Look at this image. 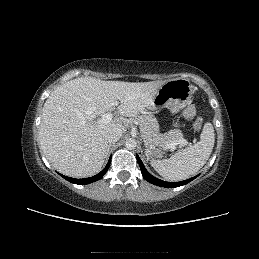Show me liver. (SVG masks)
I'll list each match as a JSON object with an SVG mask.
<instances>
[{
    "label": "liver",
    "instance_id": "1",
    "mask_svg": "<svg viewBox=\"0 0 259 259\" xmlns=\"http://www.w3.org/2000/svg\"><path fill=\"white\" fill-rule=\"evenodd\" d=\"M164 83L81 77L59 86L43 107L39 141L45 156L65 175L84 178L97 174L108 152L106 134L114 130L124 133L129 127L125 117H138L148 109ZM116 106L121 117L102 122V116Z\"/></svg>",
    "mask_w": 259,
    "mask_h": 259
}]
</instances>
